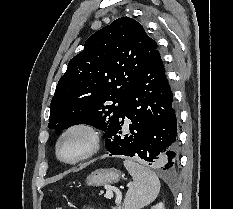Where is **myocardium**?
Listing matches in <instances>:
<instances>
[{
    "label": "myocardium",
    "instance_id": "myocardium-1",
    "mask_svg": "<svg viewBox=\"0 0 233 209\" xmlns=\"http://www.w3.org/2000/svg\"><path fill=\"white\" fill-rule=\"evenodd\" d=\"M81 132L88 138V146L84 152L73 159H65L60 155V145L64 138L71 133ZM101 136L99 130L88 122H76L67 126L58 136L55 144V155L59 161L65 164H77L92 157L100 148Z\"/></svg>",
    "mask_w": 233,
    "mask_h": 209
}]
</instances>
